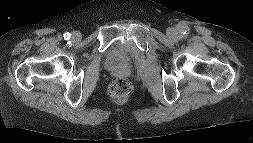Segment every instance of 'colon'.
<instances>
[{
	"mask_svg": "<svg viewBox=\"0 0 253 143\" xmlns=\"http://www.w3.org/2000/svg\"><path fill=\"white\" fill-rule=\"evenodd\" d=\"M132 87L129 80L125 77H115L111 80L108 92L114 99H122L131 93Z\"/></svg>",
	"mask_w": 253,
	"mask_h": 143,
	"instance_id": "1",
	"label": "colon"
}]
</instances>
